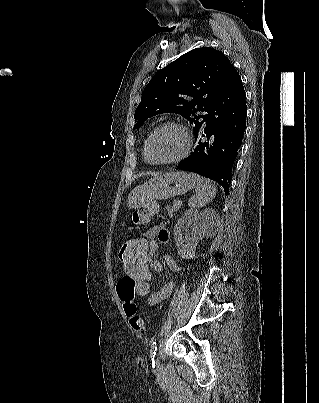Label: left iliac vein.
<instances>
[{"label": "left iliac vein", "mask_w": 319, "mask_h": 403, "mask_svg": "<svg viewBox=\"0 0 319 403\" xmlns=\"http://www.w3.org/2000/svg\"><path fill=\"white\" fill-rule=\"evenodd\" d=\"M156 366H157V369L160 368V361H159V357H158V356L156 357Z\"/></svg>", "instance_id": "obj_1"}]
</instances>
